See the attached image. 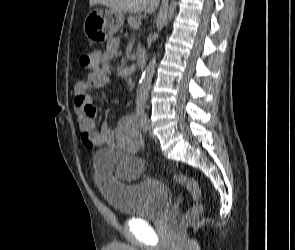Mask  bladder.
<instances>
[{"instance_id": "bladder-1", "label": "bladder", "mask_w": 295, "mask_h": 250, "mask_svg": "<svg viewBox=\"0 0 295 250\" xmlns=\"http://www.w3.org/2000/svg\"><path fill=\"white\" fill-rule=\"evenodd\" d=\"M121 161L115 150L103 149L93 157L95 180L107 203L128 219L157 220L171 204V190L159 179L144 176L135 182L119 181Z\"/></svg>"}]
</instances>
